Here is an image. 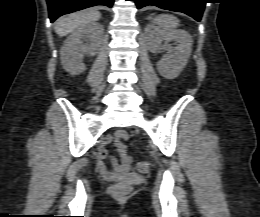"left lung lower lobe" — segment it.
<instances>
[{"label": "left lung lower lobe", "mask_w": 260, "mask_h": 217, "mask_svg": "<svg viewBox=\"0 0 260 217\" xmlns=\"http://www.w3.org/2000/svg\"><path fill=\"white\" fill-rule=\"evenodd\" d=\"M138 9L153 5L162 9L185 13L197 21L201 20L206 0H133Z\"/></svg>", "instance_id": "0a47b994"}]
</instances>
